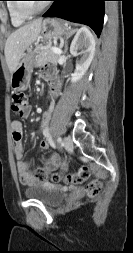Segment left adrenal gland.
Returning a JSON list of instances; mask_svg holds the SVG:
<instances>
[{"label":"left adrenal gland","mask_w":133,"mask_h":253,"mask_svg":"<svg viewBox=\"0 0 133 253\" xmlns=\"http://www.w3.org/2000/svg\"><path fill=\"white\" fill-rule=\"evenodd\" d=\"M77 31V29H70L69 32L66 34V40H65V49H64V52L67 51L68 49V44H67V39L72 35L74 34L75 32Z\"/></svg>","instance_id":"left-adrenal-gland-1"}]
</instances>
